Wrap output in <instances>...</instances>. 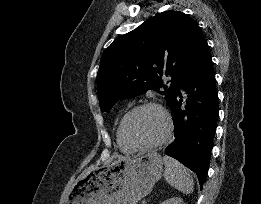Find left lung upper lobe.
Returning a JSON list of instances; mask_svg holds the SVG:
<instances>
[{
    "instance_id": "left-lung-upper-lobe-1",
    "label": "left lung upper lobe",
    "mask_w": 261,
    "mask_h": 204,
    "mask_svg": "<svg viewBox=\"0 0 261 204\" xmlns=\"http://www.w3.org/2000/svg\"><path fill=\"white\" fill-rule=\"evenodd\" d=\"M200 28L180 11H165L117 38L102 54L97 86L100 108L155 90L170 106L179 75ZM163 75L172 76L168 85ZM164 87L165 91H160Z\"/></svg>"
}]
</instances>
